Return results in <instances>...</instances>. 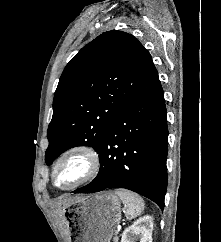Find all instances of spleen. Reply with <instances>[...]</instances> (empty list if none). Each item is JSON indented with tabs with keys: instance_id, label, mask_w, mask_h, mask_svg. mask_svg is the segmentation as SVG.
Segmentation results:
<instances>
[{
	"instance_id": "3e777b00",
	"label": "spleen",
	"mask_w": 221,
	"mask_h": 242,
	"mask_svg": "<svg viewBox=\"0 0 221 242\" xmlns=\"http://www.w3.org/2000/svg\"><path fill=\"white\" fill-rule=\"evenodd\" d=\"M115 194L120 197L124 205L127 207L125 215L128 219L136 218L144 210V201L136 193L128 190H116Z\"/></svg>"
}]
</instances>
